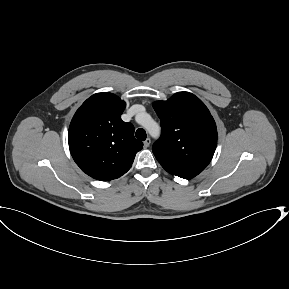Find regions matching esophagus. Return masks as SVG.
I'll return each instance as SVG.
<instances>
[{
  "label": "esophagus",
  "instance_id": "obj_1",
  "mask_svg": "<svg viewBox=\"0 0 289 289\" xmlns=\"http://www.w3.org/2000/svg\"><path fill=\"white\" fill-rule=\"evenodd\" d=\"M150 143H151V139L150 138H147L145 141H144V147L145 148H148L149 147V145H150Z\"/></svg>",
  "mask_w": 289,
  "mask_h": 289
}]
</instances>
